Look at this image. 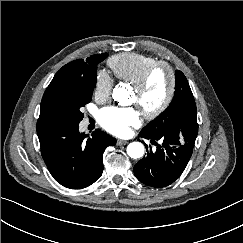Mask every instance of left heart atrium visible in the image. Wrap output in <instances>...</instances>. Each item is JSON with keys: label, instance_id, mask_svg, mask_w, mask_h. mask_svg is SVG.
<instances>
[{"label": "left heart atrium", "instance_id": "obj_1", "mask_svg": "<svg viewBox=\"0 0 243 243\" xmlns=\"http://www.w3.org/2000/svg\"><path fill=\"white\" fill-rule=\"evenodd\" d=\"M98 120L107 131L122 136L140 123V115L134 107H106L99 112Z\"/></svg>", "mask_w": 243, "mask_h": 243}]
</instances>
